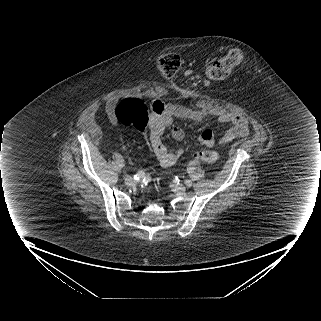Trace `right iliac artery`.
Listing matches in <instances>:
<instances>
[{
    "label": "right iliac artery",
    "mask_w": 321,
    "mask_h": 321,
    "mask_svg": "<svg viewBox=\"0 0 321 321\" xmlns=\"http://www.w3.org/2000/svg\"><path fill=\"white\" fill-rule=\"evenodd\" d=\"M137 176H138V178H139V177H141V174H137V175H136V176H134V177H135V178H137Z\"/></svg>",
    "instance_id": "right-iliac-artery-1"
}]
</instances>
